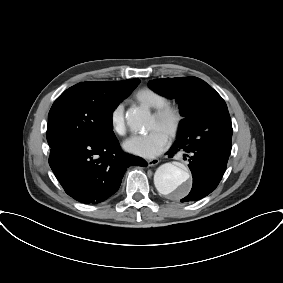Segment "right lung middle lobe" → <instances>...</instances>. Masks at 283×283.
<instances>
[{"label":"right lung middle lobe","mask_w":283,"mask_h":283,"mask_svg":"<svg viewBox=\"0 0 283 283\" xmlns=\"http://www.w3.org/2000/svg\"><path fill=\"white\" fill-rule=\"evenodd\" d=\"M102 94H96L82 84L64 91L52 105L47 125V141L58 142L88 139L101 142L115 136L112 112L139 84Z\"/></svg>","instance_id":"obj_1"}]
</instances>
